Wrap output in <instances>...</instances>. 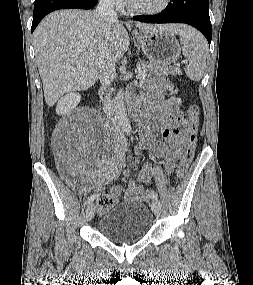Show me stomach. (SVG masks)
I'll list each match as a JSON object with an SVG mask.
<instances>
[{"label":"stomach","instance_id":"stomach-1","mask_svg":"<svg viewBox=\"0 0 253 285\" xmlns=\"http://www.w3.org/2000/svg\"><path fill=\"white\" fill-rule=\"evenodd\" d=\"M135 36L142 52L151 63L168 66L180 58V45L173 33L159 30L136 32Z\"/></svg>","mask_w":253,"mask_h":285}]
</instances>
